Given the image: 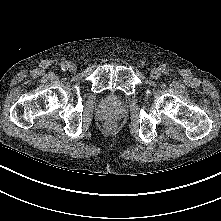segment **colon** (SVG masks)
<instances>
[{
	"label": "colon",
	"mask_w": 221,
	"mask_h": 221,
	"mask_svg": "<svg viewBox=\"0 0 221 221\" xmlns=\"http://www.w3.org/2000/svg\"><path fill=\"white\" fill-rule=\"evenodd\" d=\"M113 128H114V123L112 121L106 123V129L112 130Z\"/></svg>",
	"instance_id": "obj_1"
}]
</instances>
